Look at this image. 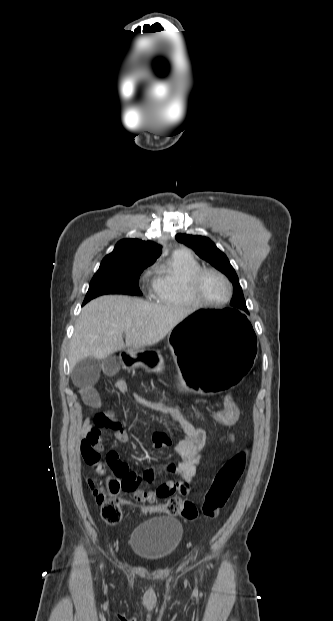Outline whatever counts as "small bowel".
<instances>
[{
  "label": "small bowel",
  "mask_w": 333,
  "mask_h": 621,
  "mask_svg": "<svg viewBox=\"0 0 333 621\" xmlns=\"http://www.w3.org/2000/svg\"><path fill=\"white\" fill-rule=\"evenodd\" d=\"M114 365V360H108L105 363V368L112 370ZM115 387L119 393L127 395L124 380L117 381ZM79 395L86 406L91 408L100 407V398L93 386L84 385L80 388ZM175 421L185 435L184 439L176 447L183 460L178 465H175L173 462L157 463L146 469L143 475L139 476L136 474L138 478L137 486L131 492L137 502L153 503L157 499L169 498L174 495L184 496L191 491L192 480L203 459L207 439L206 432L201 426L191 421L182 419ZM106 429L114 431L115 438L119 442L125 443L129 441L128 433L120 421L111 414L98 413L93 419L86 417L81 430L80 451L84 461L97 469L101 466V453L104 449L102 430ZM152 440L155 449H162L171 445V439L165 433H155ZM230 440L234 441L233 435H230ZM107 463L111 468L126 467L129 469V466L120 459L116 452L108 453ZM157 473L178 474L180 479L167 480L155 489L140 487L141 481L151 482Z\"/></svg>",
  "instance_id": "small-bowel-1"
}]
</instances>
